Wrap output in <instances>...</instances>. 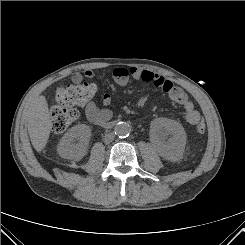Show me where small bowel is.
I'll return each mask as SVG.
<instances>
[{
    "label": "small bowel",
    "instance_id": "obj_1",
    "mask_svg": "<svg viewBox=\"0 0 245 245\" xmlns=\"http://www.w3.org/2000/svg\"><path fill=\"white\" fill-rule=\"evenodd\" d=\"M84 76L91 78L94 76V72L92 70H86L84 74L77 72L73 74L72 80L74 83H81ZM112 76L114 81L122 87L126 86L131 79L154 84L162 89L172 101L183 108V119L188 124L196 125L201 121L200 113L195 109L193 102L190 100L185 91L180 87L175 86L164 76L149 70H143L138 67H116L112 71ZM102 102L105 106L110 105L111 96L109 94H104L102 97ZM84 111L86 118L90 122L101 126H105V124L108 123L112 117V111L110 109L99 108L94 101H88L84 106Z\"/></svg>",
    "mask_w": 245,
    "mask_h": 245
}]
</instances>
